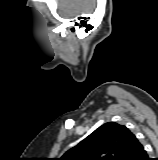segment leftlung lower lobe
<instances>
[{"label":"left lung lower lobe","mask_w":158,"mask_h":160,"mask_svg":"<svg viewBox=\"0 0 158 160\" xmlns=\"http://www.w3.org/2000/svg\"><path fill=\"white\" fill-rule=\"evenodd\" d=\"M127 160H149L143 145L137 140V138Z\"/></svg>","instance_id":"obj_1"}]
</instances>
